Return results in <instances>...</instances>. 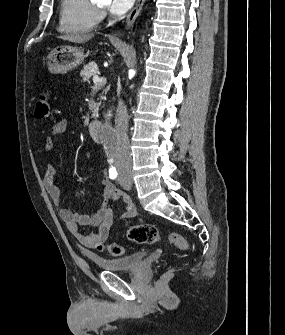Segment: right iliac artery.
Returning a JSON list of instances; mask_svg holds the SVG:
<instances>
[{
    "label": "right iliac artery",
    "instance_id": "right-iliac-artery-1",
    "mask_svg": "<svg viewBox=\"0 0 285 335\" xmlns=\"http://www.w3.org/2000/svg\"><path fill=\"white\" fill-rule=\"evenodd\" d=\"M118 173L116 171V168L111 166V168L109 169V177L111 179H115L117 177Z\"/></svg>",
    "mask_w": 285,
    "mask_h": 335
}]
</instances>
